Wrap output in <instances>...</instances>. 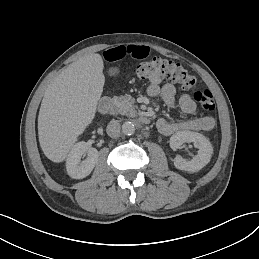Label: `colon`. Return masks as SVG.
I'll list each match as a JSON object with an SVG mask.
<instances>
[{"instance_id": "5ec220e1", "label": "colon", "mask_w": 259, "mask_h": 259, "mask_svg": "<svg viewBox=\"0 0 259 259\" xmlns=\"http://www.w3.org/2000/svg\"><path fill=\"white\" fill-rule=\"evenodd\" d=\"M140 78L151 83L170 81L178 83L183 89L189 90L195 85V79L180 64L163 58H152L141 63L137 68ZM194 99L207 112H213L215 103L209 90L198 91Z\"/></svg>"}]
</instances>
